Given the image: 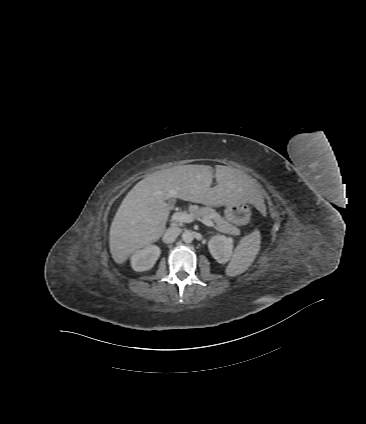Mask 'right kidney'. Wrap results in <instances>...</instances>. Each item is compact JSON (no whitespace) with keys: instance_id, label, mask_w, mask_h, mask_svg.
<instances>
[{"instance_id":"1","label":"right kidney","mask_w":366,"mask_h":424,"mask_svg":"<svg viewBox=\"0 0 366 424\" xmlns=\"http://www.w3.org/2000/svg\"><path fill=\"white\" fill-rule=\"evenodd\" d=\"M161 250L156 245H149L131 256V266L137 272L151 269L159 258Z\"/></svg>"}]
</instances>
